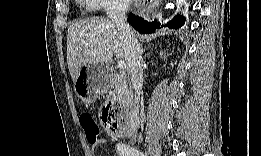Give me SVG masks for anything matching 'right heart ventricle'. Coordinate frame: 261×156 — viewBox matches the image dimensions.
I'll list each match as a JSON object with an SVG mask.
<instances>
[{"mask_svg": "<svg viewBox=\"0 0 261 156\" xmlns=\"http://www.w3.org/2000/svg\"><path fill=\"white\" fill-rule=\"evenodd\" d=\"M86 4H88V1H85ZM89 5V4H88ZM90 6V5H89Z\"/></svg>", "mask_w": 261, "mask_h": 156, "instance_id": "right-heart-ventricle-1", "label": "right heart ventricle"}]
</instances>
